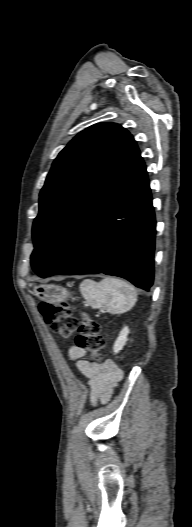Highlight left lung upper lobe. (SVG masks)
<instances>
[{"label":"left lung upper lobe","mask_w":192,"mask_h":527,"mask_svg":"<svg viewBox=\"0 0 192 527\" xmlns=\"http://www.w3.org/2000/svg\"><path fill=\"white\" fill-rule=\"evenodd\" d=\"M141 158L132 135L115 123L80 132L59 153L40 192L31 265L43 275L64 253L91 212Z\"/></svg>","instance_id":"5c2ea615"}]
</instances>
